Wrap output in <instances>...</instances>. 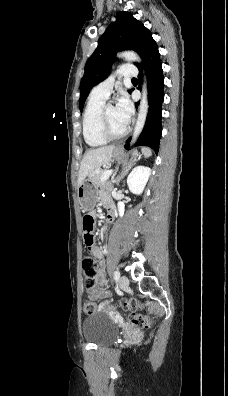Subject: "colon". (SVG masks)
<instances>
[{"label":"colon","mask_w":228,"mask_h":396,"mask_svg":"<svg viewBox=\"0 0 228 396\" xmlns=\"http://www.w3.org/2000/svg\"><path fill=\"white\" fill-rule=\"evenodd\" d=\"M83 230H84V256L82 259V270L86 288H92L95 284V279L98 273V263L91 252V246L94 244V218L92 215L87 214L83 218ZM119 306L129 312L128 321L134 327L148 328L152 324L151 318L143 315L141 312L144 309V305L139 302H133L129 300H123L119 303ZM100 306L92 299H86L83 303V310L86 314L95 313Z\"/></svg>","instance_id":"5ec220e1"}]
</instances>
